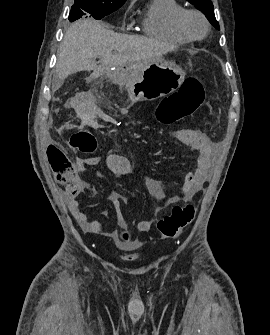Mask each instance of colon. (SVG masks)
Masks as SVG:
<instances>
[{"label":"colon","instance_id":"obj_1","mask_svg":"<svg viewBox=\"0 0 270 335\" xmlns=\"http://www.w3.org/2000/svg\"><path fill=\"white\" fill-rule=\"evenodd\" d=\"M203 100L202 80L188 78L179 90L164 97L156 110L158 121L162 125H172L184 120L192 114ZM69 144L74 150L92 155L97 151L98 143L90 131H78L70 137ZM195 216L193 203L177 204L172 211L159 219L157 228L164 238H173L192 222ZM122 238H128V233H122Z\"/></svg>","mask_w":270,"mask_h":335}]
</instances>
